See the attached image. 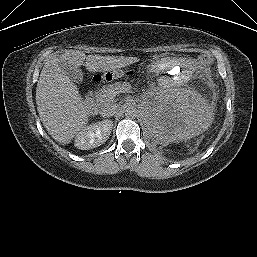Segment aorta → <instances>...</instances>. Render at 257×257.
<instances>
[{"instance_id":"1","label":"aorta","mask_w":257,"mask_h":257,"mask_svg":"<svg viewBox=\"0 0 257 257\" xmlns=\"http://www.w3.org/2000/svg\"><path fill=\"white\" fill-rule=\"evenodd\" d=\"M124 112L125 116L130 119H134L138 116V109L134 106H127Z\"/></svg>"}]
</instances>
